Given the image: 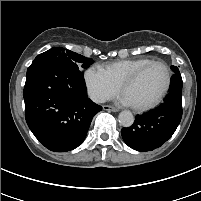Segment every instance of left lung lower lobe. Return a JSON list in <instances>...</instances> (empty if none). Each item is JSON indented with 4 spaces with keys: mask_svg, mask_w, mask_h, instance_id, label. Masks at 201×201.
<instances>
[{
    "mask_svg": "<svg viewBox=\"0 0 201 201\" xmlns=\"http://www.w3.org/2000/svg\"><path fill=\"white\" fill-rule=\"evenodd\" d=\"M169 93L156 109L137 115L132 126L122 128L125 143L132 149L147 152L164 144L175 132L182 117V78L177 67L171 66Z\"/></svg>",
    "mask_w": 201,
    "mask_h": 201,
    "instance_id": "obj_1",
    "label": "left lung lower lobe"
}]
</instances>
